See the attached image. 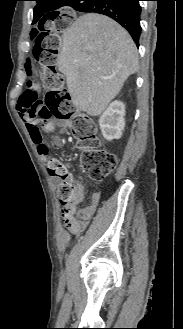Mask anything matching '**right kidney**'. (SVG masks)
Wrapping results in <instances>:
<instances>
[{
    "label": "right kidney",
    "instance_id": "obj_1",
    "mask_svg": "<svg viewBox=\"0 0 183 329\" xmlns=\"http://www.w3.org/2000/svg\"><path fill=\"white\" fill-rule=\"evenodd\" d=\"M125 105L121 101L112 102L99 119L103 137L111 141L119 139L125 127Z\"/></svg>",
    "mask_w": 183,
    "mask_h": 329
}]
</instances>
